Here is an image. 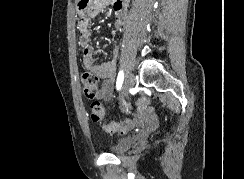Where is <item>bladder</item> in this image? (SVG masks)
<instances>
[{"instance_id": "bladder-1", "label": "bladder", "mask_w": 244, "mask_h": 179, "mask_svg": "<svg viewBox=\"0 0 244 179\" xmlns=\"http://www.w3.org/2000/svg\"><path fill=\"white\" fill-rule=\"evenodd\" d=\"M136 142V136H128L124 138H120L117 140V143L114 147H112L111 151L115 155H122L126 152H128Z\"/></svg>"}]
</instances>
